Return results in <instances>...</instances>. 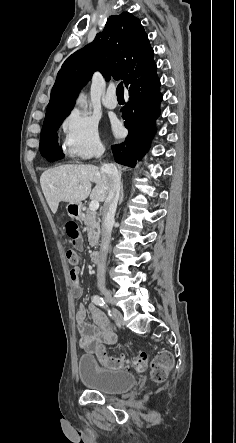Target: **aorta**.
<instances>
[{
	"label": "aorta",
	"instance_id": "aorta-1",
	"mask_svg": "<svg viewBox=\"0 0 236 443\" xmlns=\"http://www.w3.org/2000/svg\"><path fill=\"white\" fill-rule=\"evenodd\" d=\"M85 101H86V97H85V95H84V94H80V96L78 97V100H77V104H78L80 107H83L84 104H85Z\"/></svg>",
	"mask_w": 236,
	"mask_h": 443
}]
</instances>
